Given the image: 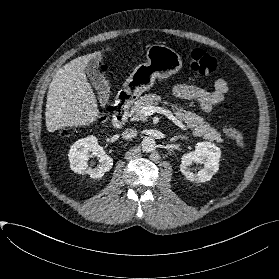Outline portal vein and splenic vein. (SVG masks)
I'll return each instance as SVG.
<instances>
[{
	"mask_svg": "<svg viewBox=\"0 0 279 279\" xmlns=\"http://www.w3.org/2000/svg\"><path fill=\"white\" fill-rule=\"evenodd\" d=\"M155 112H162L163 114H165L166 116L169 117V119H171L178 127H180L183 130H186L185 125H183L181 123V121H179L176 117H174L170 112L166 111V110H162L159 107H153V106H145L141 108V113L146 117V116H150L153 115V113Z\"/></svg>",
	"mask_w": 279,
	"mask_h": 279,
	"instance_id": "1",
	"label": "portal vein and splenic vein"
}]
</instances>
